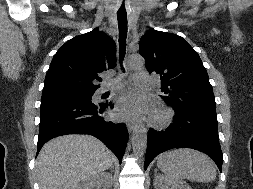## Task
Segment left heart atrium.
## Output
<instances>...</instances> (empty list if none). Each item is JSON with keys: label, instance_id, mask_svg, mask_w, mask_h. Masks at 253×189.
I'll return each instance as SVG.
<instances>
[{"label": "left heart atrium", "instance_id": "obj_1", "mask_svg": "<svg viewBox=\"0 0 253 189\" xmlns=\"http://www.w3.org/2000/svg\"><path fill=\"white\" fill-rule=\"evenodd\" d=\"M146 111L144 104L133 95H124L117 101L115 116L119 118L137 119Z\"/></svg>", "mask_w": 253, "mask_h": 189}]
</instances>
